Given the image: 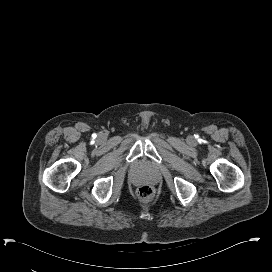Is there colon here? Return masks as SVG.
<instances>
[{
    "instance_id": "colon-1",
    "label": "colon",
    "mask_w": 272,
    "mask_h": 272,
    "mask_svg": "<svg viewBox=\"0 0 272 272\" xmlns=\"http://www.w3.org/2000/svg\"><path fill=\"white\" fill-rule=\"evenodd\" d=\"M137 195L143 201H150L154 196V189L150 185H143L138 188Z\"/></svg>"
}]
</instances>
